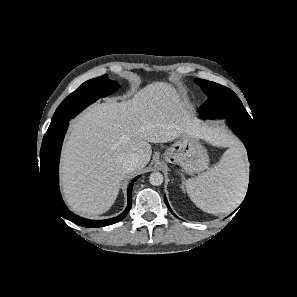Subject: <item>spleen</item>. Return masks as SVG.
<instances>
[{"label": "spleen", "mask_w": 297, "mask_h": 297, "mask_svg": "<svg viewBox=\"0 0 297 297\" xmlns=\"http://www.w3.org/2000/svg\"><path fill=\"white\" fill-rule=\"evenodd\" d=\"M190 199L203 211L226 213L242 201L247 186V167L238 146L228 149L210 170L186 181Z\"/></svg>", "instance_id": "obj_1"}]
</instances>
